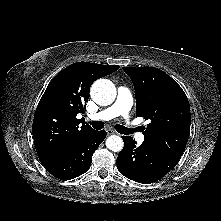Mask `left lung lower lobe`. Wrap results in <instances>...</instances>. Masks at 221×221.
I'll return each mask as SVG.
<instances>
[{
  "mask_svg": "<svg viewBox=\"0 0 221 221\" xmlns=\"http://www.w3.org/2000/svg\"><path fill=\"white\" fill-rule=\"evenodd\" d=\"M124 148L117 158V168L125 177L142 184L161 179L176 164L177 160L167 156L146 143L136 146L131 136H122Z\"/></svg>",
  "mask_w": 221,
  "mask_h": 221,
  "instance_id": "left-lung-lower-lobe-1",
  "label": "left lung lower lobe"
}]
</instances>
